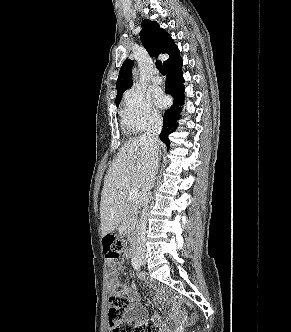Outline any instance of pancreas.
<instances>
[{
	"label": "pancreas",
	"mask_w": 291,
	"mask_h": 332,
	"mask_svg": "<svg viewBox=\"0 0 291 332\" xmlns=\"http://www.w3.org/2000/svg\"><path fill=\"white\" fill-rule=\"evenodd\" d=\"M140 207L139 202L127 201L123 205V218H122V229L126 232H130L136 222L138 209Z\"/></svg>",
	"instance_id": "pancreas-1"
}]
</instances>
